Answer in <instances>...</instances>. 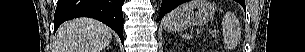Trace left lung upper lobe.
Returning <instances> with one entry per match:
<instances>
[{
	"instance_id": "5c2ea615",
	"label": "left lung upper lobe",
	"mask_w": 305,
	"mask_h": 52,
	"mask_svg": "<svg viewBox=\"0 0 305 52\" xmlns=\"http://www.w3.org/2000/svg\"><path fill=\"white\" fill-rule=\"evenodd\" d=\"M242 6H244L245 5V3L244 2H241V1H238Z\"/></svg>"
}]
</instances>
